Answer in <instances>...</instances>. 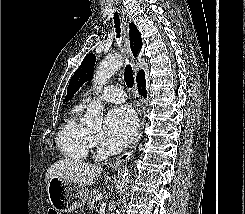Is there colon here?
I'll use <instances>...</instances> for the list:
<instances>
[{
	"label": "colon",
	"instance_id": "5ec220e1",
	"mask_svg": "<svg viewBox=\"0 0 245 214\" xmlns=\"http://www.w3.org/2000/svg\"><path fill=\"white\" fill-rule=\"evenodd\" d=\"M49 214H58L56 211H54V210H51L50 212H49Z\"/></svg>",
	"mask_w": 245,
	"mask_h": 214
}]
</instances>
